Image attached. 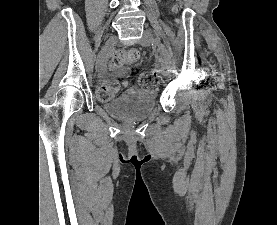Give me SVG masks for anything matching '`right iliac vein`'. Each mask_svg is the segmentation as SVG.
<instances>
[{"mask_svg": "<svg viewBox=\"0 0 277 225\" xmlns=\"http://www.w3.org/2000/svg\"><path fill=\"white\" fill-rule=\"evenodd\" d=\"M117 43V37L111 36L105 43V45L102 47L101 51L99 52L96 60V70H100L102 67L105 66L106 61L108 59V56L114 46Z\"/></svg>", "mask_w": 277, "mask_h": 225, "instance_id": "obj_1", "label": "right iliac vein"}]
</instances>
